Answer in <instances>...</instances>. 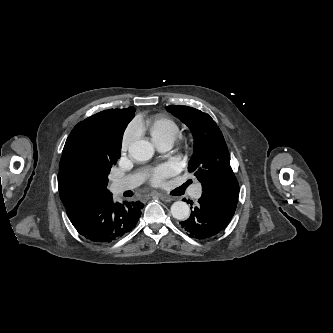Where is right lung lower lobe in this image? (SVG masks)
I'll return each mask as SVG.
<instances>
[{
  "label": "right lung lower lobe",
  "mask_w": 333,
  "mask_h": 333,
  "mask_svg": "<svg viewBox=\"0 0 333 333\" xmlns=\"http://www.w3.org/2000/svg\"><path fill=\"white\" fill-rule=\"evenodd\" d=\"M143 204L114 203L112 194L78 207L66 209L76 230L96 243H109L131 231L137 224Z\"/></svg>",
  "instance_id": "98d812e1"
}]
</instances>
